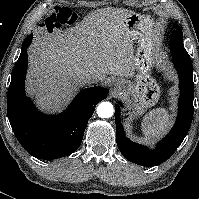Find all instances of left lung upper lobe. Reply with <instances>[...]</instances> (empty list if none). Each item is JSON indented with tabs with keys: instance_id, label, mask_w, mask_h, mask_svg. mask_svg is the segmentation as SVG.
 Wrapping results in <instances>:
<instances>
[{
	"instance_id": "1",
	"label": "left lung upper lobe",
	"mask_w": 199,
	"mask_h": 199,
	"mask_svg": "<svg viewBox=\"0 0 199 199\" xmlns=\"http://www.w3.org/2000/svg\"><path fill=\"white\" fill-rule=\"evenodd\" d=\"M171 45V53L173 57L179 58L184 62L191 64V58L183 45V33L178 24H175V31L172 36Z\"/></svg>"
}]
</instances>
